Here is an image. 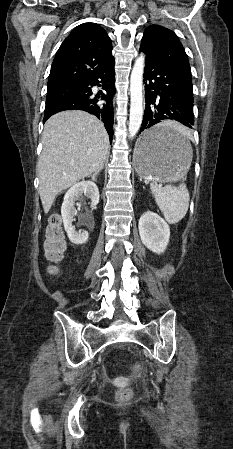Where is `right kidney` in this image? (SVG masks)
Wrapping results in <instances>:
<instances>
[{"instance_id": "1", "label": "right kidney", "mask_w": 233, "mask_h": 449, "mask_svg": "<svg viewBox=\"0 0 233 449\" xmlns=\"http://www.w3.org/2000/svg\"><path fill=\"white\" fill-rule=\"evenodd\" d=\"M86 196L91 200V207H95L99 203V190L97 185L92 181H81L72 186L65 194L61 207V215L64 223V229L69 240L73 244H84L89 237L87 231H76L72 225L73 217L77 213L75 201Z\"/></svg>"}]
</instances>
